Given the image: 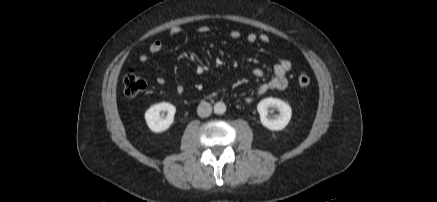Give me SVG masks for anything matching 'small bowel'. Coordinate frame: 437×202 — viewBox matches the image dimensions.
<instances>
[{"label":"small bowel","instance_id":"small-bowel-1","mask_svg":"<svg viewBox=\"0 0 437 202\" xmlns=\"http://www.w3.org/2000/svg\"><path fill=\"white\" fill-rule=\"evenodd\" d=\"M198 33L205 34L210 31V28L208 26H201L198 28ZM182 29L179 26H174L169 30V37L174 38L181 34ZM229 37L232 39H239L241 37V32L238 30H232L228 33ZM246 39L249 43H255V42H261L263 44H267L270 41V38L267 34L261 33H249L246 36ZM164 48V43L160 40H156L149 46V53L150 54H158L161 52ZM148 61V56L146 54H142L139 56V62L141 64H145ZM292 68V63L288 59H280L278 63L275 64L273 68V76L272 78L259 86V88L256 91V95H262L270 90H284L288 86V78L287 75L289 71ZM253 75L257 78H260L264 75V72L262 69L256 68L253 70ZM156 82L159 85L165 84V79L163 77H158L156 79ZM184 88L182 85H178L176 87V92L181 94L183 93ZM255 96H249L247 97V102H252L254 100Z\"/></svg>","mask_w":437,"mask_h":202}]
</instances>
